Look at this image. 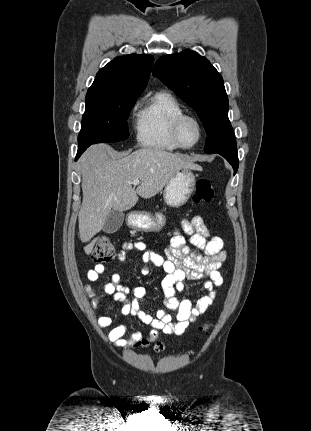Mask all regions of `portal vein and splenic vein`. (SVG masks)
Instances as JSON below:
<instances>
[{
    "mask_svg": "<svg viewBox=\"0 0 311 431\" xmlns=\"http://www.w3.org/2000/svg\"><path fill=\"white\" fill-rule=\"evenodd\" d=\"M131 184H133V186H139L140 180H133V182H131Z\"/></svg>",
    "mask_w": 311,
    "mask_h": 431,
    "instance_id": "18ae733b",
    "label": "portal vein and splenic vein"
}]
</instances>
